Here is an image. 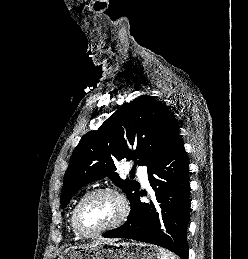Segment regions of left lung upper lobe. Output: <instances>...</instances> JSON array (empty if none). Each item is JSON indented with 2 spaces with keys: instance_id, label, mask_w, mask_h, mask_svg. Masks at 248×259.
<instances>
[{
  "instance_id": "obj_1",
  "label": "left lung upper lobe",
  "mask_w": 248,
  "mask_h": 259,
  "mask_svg": "<svg viewBox=\"0 0 248 259\" xmlns=\"http://www.w3.org/2000/svg\"><path fill=\"white\" fill-rule=\"evenodd\" d=\"M180 142L177 122L162 102L143 95L124 104L98 130L85 134L74 149L64 175L61 208L85 184L106 176L125 191L131 202L139 193V183L121 179L115 163L134 160L135 165H146L150 171Z\"/></svg>"
}]
</instances>
